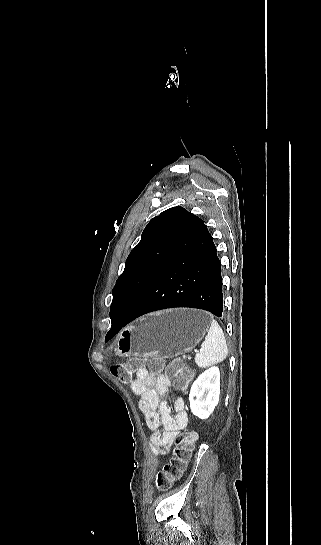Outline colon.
<instances>
[{
  "mask_svg": "<svg viewBox=\"0 0 321 545\" xmlns=\"http://www.w3.org/2000/svg\"><path fill=\"white\" fill-rule=\"evenodd\" d=\"M142 366V360L132 359L128 362L118 363L111 367L112 374L122 383L132 382L133 374ZM165 367L162 359L154 357L149 361L151 373H158ZM166 369L169 373L178 375L177 386L184 389L190 379L189 373L184 369L180 360L170 362ZM196 435L193 433L179 437L174 445V456L164 465L163 469L156 475L155 482L159 489H167L172 483L178 480L185 470L187 461L196 443Z\"/></svg>",
  "mask_w": 321,
  "mask_h": 545,
  "instance_id": "colon-1",
  "label": "colon"
}]
</instances>
